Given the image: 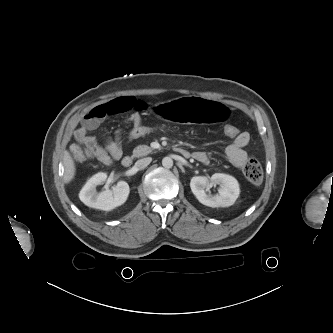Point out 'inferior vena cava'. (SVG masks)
<instances>
[{
  "instance_id": "inferior-vena-cava-1",
  "label": "inferior vena cava",
  "mask_w": 333,
  "mask_h": 333,
  "mask_svg": "<svg viewBox=\"0 0 333 333\" xmlns=\"http://www.w3.org/2000/svg\"><path fill=\"white\" fill-rule=\"evenodd\" d=\"M151 161H152L151 157L140 159L135 163V167L139 170H142V169L146 168L150 164Z\"/></svg>"
}]
</instances>
